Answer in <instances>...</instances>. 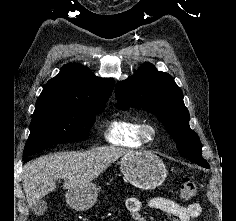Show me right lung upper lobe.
Instances as JSON below:
<instances>
[{"instance_id":"obj_1","label":"right lung upper lobe","mask_w":236,"mask_h":221,"mask_svg":"<svg viewBox=\"0 0 236 221\" xmlns=\"http://www.w3.org/2000/svg\"><path fill=\"white\" fill-rule=\"evenodd\" d=\"M113 87L112 79L96 77L87 67L68 63L46 83L36 103H106Z\"/></svg>"}]
</instances>
